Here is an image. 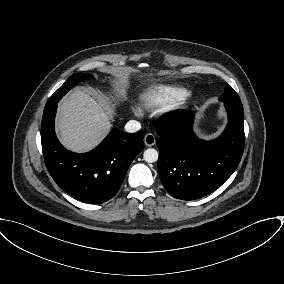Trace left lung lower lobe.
Instances as JSON below:
<instances>
[{
	"label": "left lung lower lobe",
	"instance_id": "0a47b994",
	"mask_svg": "<svg viewBox=\"0 0 284 284\" xmlns=\"http://www.w3.org/2000/svg\"><path fill=\"white\" fill-rule=\"evenodd\" d=\"M228 125L212 141L192 130L194 112L180 110L155 123L160 135L158 171L162 184L175 198L194 200L219 188L235 171L244 151L243 106L224 103Z\"/></svg>",
	"mask_w": 284,
	"mask_h": 284
}]
</instances>
